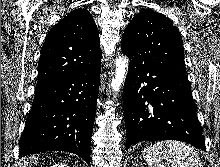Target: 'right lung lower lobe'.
I'll return each instance as SVG.
<instances>
[{"instance_id": "right-lung-lower-lobe-1", "label": "right lung lower lobe", "mask_w": 220, "mask_h": 167, "mask_svg": "<svg viewBox=\"0 0 220 167\" xmlns=\"http://www.w3.org/2000/svg\"><path fill=\"white\" fill-rule=\"evenodd\" d=\"M99 78L100 64L37 85L19 141L20 157L46 151H67L80 156L89 165Z\"/></svg>"}]
</instances>
